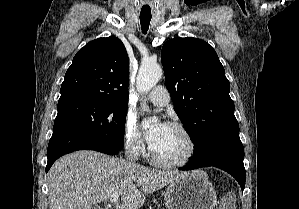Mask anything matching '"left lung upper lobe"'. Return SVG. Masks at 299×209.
<instances>
[{
	"label": "left lung upper lobe",
	"instance_id": "obj_1",
	"mask_svg": "<svg viewBox=\"0 0 299 209\" xmlns=\"http://www.w3.org/2000/svg\"><path fill=\"white\" fill-rule=\"evenodd\" d=\"M161 52L174 110L198 152L213 133L237 122L230 83L217 53L201 39H170Z\"/></svg>",
	"mask_w": 299,
	"mask_h": 209
}]
</instances>
